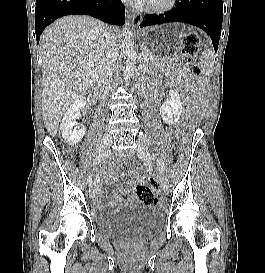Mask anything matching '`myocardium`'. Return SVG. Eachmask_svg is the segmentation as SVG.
Listing matches in <instances>:
<instances>
[{
  "label": "myocardium",
  "mask_w": 265,
  "mask_h": 273,
  "mask_svg": "<svg viewBox=\"0 0 265 273\" xmlns=\"http://www.w3.org/2000/svg\"><path fill=\"white\" fill-rule=\"evenodd\" d=\"M177 0H165L162 3L146 2L144 8L151 13H164L170 11L175 6Z\"/></svg>",
  "instance_id": "1"
}]
</instances>
